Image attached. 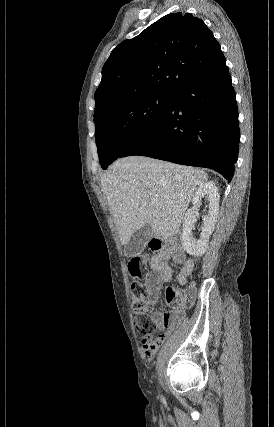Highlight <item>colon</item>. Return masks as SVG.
Returning <instances> with one entry per match:
<instances>
[{
    "label": "colon",
    "instance_id": "obj_1",
    "mask_svg": "<svg viewBox=\"0 0 274 427\" xmlns=\"http://www.w3.org/2000/svg\"><path fill=\"white\" fill-rule=\"evenodd\" d=\"M134 264V275L142 276L143 274L149 273V261L142 260L137 255H133L128 265ZM132 292L137 291L136 283H132ZM165 299L167 302L171 303L176 298V289L173 286H167L165 288ZM134 302V311L132 314L133 325L136 331L137 336L142 341V338H151V355H152V332H155L156 321L151 314L145 312L144 301L137 293H134L133 297Z\"/></svg>",
    "mask_w": 274,
    "mask_h": 427
}]
</instances>
